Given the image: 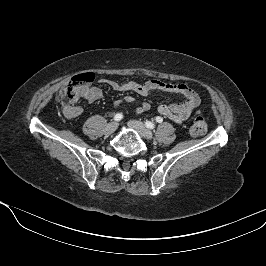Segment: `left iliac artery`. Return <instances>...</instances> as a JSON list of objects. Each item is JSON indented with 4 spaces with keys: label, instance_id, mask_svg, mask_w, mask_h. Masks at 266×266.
<instances>
[{
    "label": "left iliac artery",
    "instance_id": "44dca946",
    "mask_svg": "<svg viewBox=\"0 0 266 266\" xmlns=\"http://www.w3.org/2000/svg\"><path fill=\"white\" fill-rule=\"evenodd\" d=\"M156 121H157L158 123H161V122L163 121V119H162L161 117L158 116V117L156 118ZM145 125H146V127L149 128V129H154V128H155L154 123H152V122H150V121H146V122H145Z\"/></svg>",
    "mask_w": 266,
    "mask_h": 266
}]
</instances>
